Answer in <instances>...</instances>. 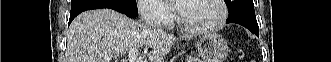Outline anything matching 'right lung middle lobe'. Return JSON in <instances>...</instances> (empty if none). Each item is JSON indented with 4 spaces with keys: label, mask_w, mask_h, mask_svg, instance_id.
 <instances>
[{
    "label": "right lung middle lobe",
    "mask_w": 331,
    "mask_h": 62,
    "mask_svg": "<svg viewBox=\"0 0 331 62\" xmlns=\"http://www.w3.org/2000/svg\"><path fill=\"white\" fill-rule=\"evenodd\" d=\"M93 6L114 7L134 16L138 12L136 0H71V11Z\"/></svg>",
    "instance_id": "obj_1"
}]
</instances>
